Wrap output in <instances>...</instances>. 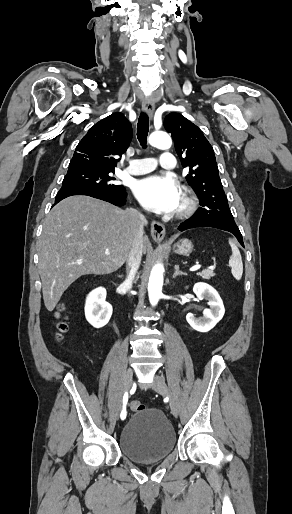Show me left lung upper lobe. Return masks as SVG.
I'll use <instances>...</instances> for the list:
<instances>
[{
	"instance_id": "1",
	"label": "left lung upper lobe",
	"mask_w": 292,
	"mask_h": 514,
	"mask_svg": "<svg viewBox=\"0 0 292 514\" xmlns=\"http://www.w3.org/2000/svg\"><path fill=\"white\" fill-rule=\"evenodd\" d=\"M164 127L172 134L182 166L189 168L188 184L199 198L198 219L236 224L221 184L214 150L202 131L179 113L166 116Z\"/></svg>"
}]
</instances>
